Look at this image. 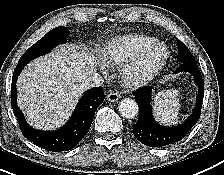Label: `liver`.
<instances>
[{
  "instance_id": "1",
  "label": "liver",
  "mask_w": 224,
  "mask_h": 175,
  "mask_svg": "<svg viewBox=\"0 0 224 175\" xmlns=\"http://www.w3.org/2000/svg\"><path fill=\"white\" fill-rule=\"evenodd\" d=\"M97 57L66 45L30 62L17 80L18 106L36 129L54 130L74 110Z\"/></svg>"
}]
</instances>
